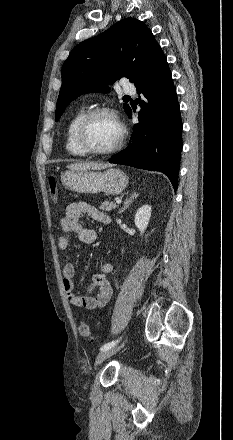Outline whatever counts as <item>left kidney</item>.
Listing matches in <instances>:
<instances>
[{
	"label": "left kidney",
	"instance_id": "obj_1",
	"mask_svg": "<svg viewBox=\"0 0 233 440\" xmlns=\"http://www.w3.org/2000/svg\"><path fill=\"white\" fill-rule=\"evenodd\" d=\"M151 217V206L143 205L135 214L134 223L139 229L141 235L144 234Z\"/></svg>",
	"mask_w": 233,
	"mask_h": 440
}]
</instances>
